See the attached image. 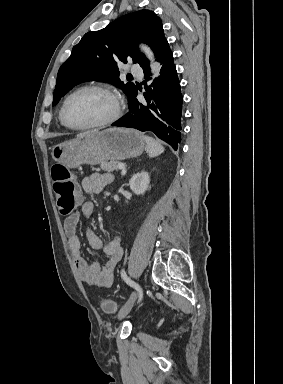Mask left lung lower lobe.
<instances>
[{
    "mask_svg": "<svg viewBox=\"0 0 283 384\" xmlns=\"http://www.w3.org/2000/svg\"><path fill=\"white\" fill-rule=\"evenodd\" d=\"M156 60L162 65L161 75L157 81L145 87L146 102H138L136 89L129 99V113L112 126L152 131L177 150L178 143L181 142L182 95L168 42L163 45ZM143 70L145 81L150 80V66L143 67Z\"/></svg>",
    "mask_w": 283,
    "mask_h": 384,
    "instance_id": "obj_1",
    "label": "left lung lower lobe"
}]
</instances>
